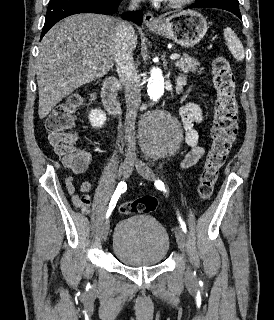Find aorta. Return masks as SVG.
<instances>
[{"mask_svg":"<svg viewBox=\"0 0 274 320\" xmlns=\"http://www.w3.org/2000/svg\"><path fill=\"white\" fill-rule=\"evenodd\" d=\"M147 93L153 103H158L164 97V78L159 68H152L150 71ZM139 132L144 153L160 157L174 150L181 128L174 117L163 110L156 109L143 117Z\"/></svg>","mask_w":274,"mask_h":320,"instance_id":"obj_1","label":"aorta"}]
</instances>
